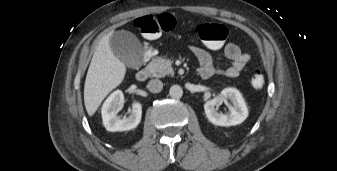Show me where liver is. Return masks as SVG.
I'll use <instances>...</instances> for the list:
<instances>
[{
    "instance_id": "obj_1",
    "label": "liver",
    "mask_w": 337,
    "mask_h": 171,
    "mask_svg": "<svg viewBox=\"0 0 337 171\" xmlns=\"http://www.w3.org/2000/svg\"><path fill=\"white\" fill-rule=\"evenodd\" d=\"M112 32L98 43L92 57L84 85V103L89 116H92L104 98L125 76L126 66L113 53L110 47Z\"/></svg>"
}]
</instances>
